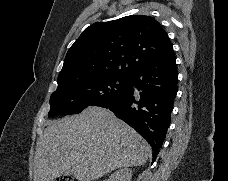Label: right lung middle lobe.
I'll use <instances>...</instances> for the list:
<instances>
[{
	"label": "right lung middle lobe",
	"instance_id": "right-lung-middle-lobe-1",
	"mask_svg": "<svg viewBox=\"0 0 228 181\" xmlns=\"http://www.w3.org/2000/svg\"><path fill=\"white\" fill-rule=\"evenodd\" d=\"M129 78L111 74L58 86L50 97L48 116L77 114L90 105L112 103L124 94Z\"/></svg>",
	"mask_w": 228,
	"mask_h": 181
}]
</instances>
